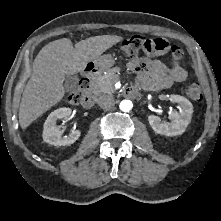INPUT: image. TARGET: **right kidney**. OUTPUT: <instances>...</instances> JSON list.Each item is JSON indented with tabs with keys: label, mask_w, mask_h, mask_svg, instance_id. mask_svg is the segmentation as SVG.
<instances>
[{
	"label": "right kidney",
	"mask_w": 221,
	"mask_h": 221,
	"mask_svg": "<svg viewBox=\"0 0 221 221\" xmlns=\"http://www.w3.org/2000/svg\"><path fill=\"white\" fill-rule=\"evenodd\" d=\"M70 108H59L50 113L43 127V139L54 146H65L73 144L81 135L79 130H73L69 135L62 136L61 130L56 126L59 119H66L71 116Z\"/></svg>",
	"instance_id": "1"
}]
</instances>
